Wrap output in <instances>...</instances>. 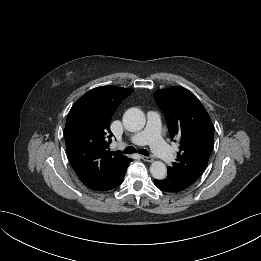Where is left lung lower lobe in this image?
Returning <instances> with one entry per match:
<instances>
[{"label": "left lung lower lobe", "mask_w": 261, "mask_h": 261, "mask_svg": "<svg viewBox=\"0 0 261 261\" xmlns=\"http://www.w3.org/2000/svg\"><path fill=\"white\" fill-rule=\"evenodd\" d=\"M154 184L159 189L166 192H179L188 188L191 183L179 177L177 174L168 171V175L163 180H154Z\"/></svg>", "instance_id": "left-lung-lower-lobe-1"}]
</instances>
